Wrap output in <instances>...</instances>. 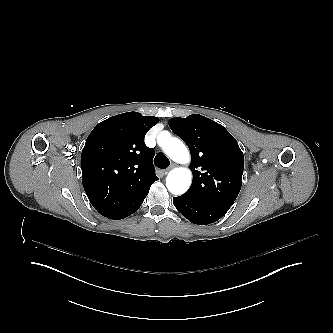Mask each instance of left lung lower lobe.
Here are the masks:
<instances>
[{
    "mask_svg": "<svg viewBox=\"0 0 333 333\" xmlns=\"http://www.w3.org/2000/svg\"><path fill=\"white\" fill-rule=\"evenodd\" d=\"M173 203L184 217L199 225L213 223L229 210L228 207L200 203L184 196L173 197Z\"/></svg>",
    "mask_w": 333,
    "mask_h": 333,
    "instance_id": "left-lung-lower-lobe-1",
    "label": "left lung lower lobe"
}]
</instances>
